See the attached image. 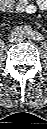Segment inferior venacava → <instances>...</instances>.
Here are the masks:
<instances>
[{
	"label": "inferior vena cava",
	"instance_id": "obj_1",
	"mask_svg": "<svg viewBox=\"0 0 47 129\" xmlns=\"http://www.w3.org/2000/svg\"><path fill=\"white\" fill-rule=\"evenodd\" d=\"M14 38L19 41L22 39V36L18 34V35H14Z\"/></svg>",
	"mask_w": 47,
	"mask_h": 129
}]
</instances>
